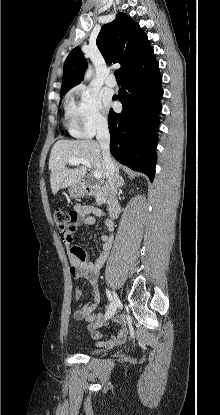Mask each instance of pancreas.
<instances>
[{
  "label": "pancreas",
  "instance_id": "pancreas-1",
  "mask_svg": "<svg viewBox=\"0 0 220 415\" xmlns=\"http://www.w3.org/2000/svg\"><path fill=\"white\" fill-rule=\"evenodd\" d=\"M94 195L96 198V203L98 205H102L107 200V193L103 190H100V189L95 190Z\"/></svg>",
  "mask_w": 220,
  "mask_h": 415
}]
</instances>
